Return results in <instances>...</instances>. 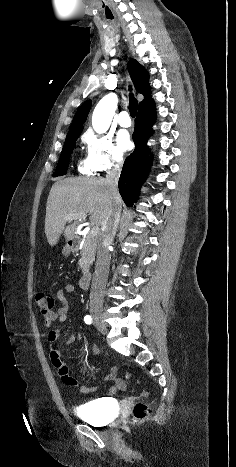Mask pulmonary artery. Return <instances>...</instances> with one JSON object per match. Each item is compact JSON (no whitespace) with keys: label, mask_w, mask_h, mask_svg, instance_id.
<instances>
[{"label":"pulmonary artery","mask_w":236,"mask_h":467,"mask_svg":"<svg viewBox=\"0 0 236 467\" xmlns=\"http://www.w3.org/2000/svg\"><path fill=\"white\" fill-rule=\"evenodd\" d=\"M118 123L122 127H129L131 125V118L127 111H121L118 115Z\"/></svg>","instance_id":"1"}]
</instances>
